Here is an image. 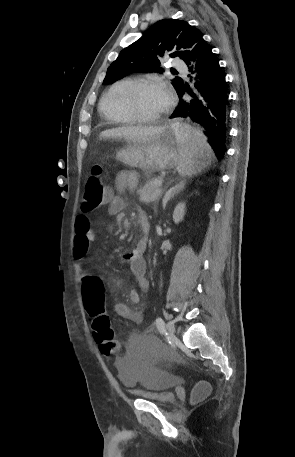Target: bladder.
I'll list each match as a JSON object with an SVG mask.
<instances>
[{"label": "bladder", "instance_id": "obj_1", "mask_svg": "<svg viewBox=\"0 0 295 457\" xmlns=\"http://www.w3.org/2000/svg\"><path fill=\"white\" fill-rule=\"evenodd\" d=\"M125 351L122 358L115 362L119 382L139 398L161 405L173 404L176 397L170 390V385L176 383L177 376L168 369L166 372L161 370V367L171 368V361L178 360V353L172 352L171 345L140 342L139 345H127ZM148 354L156 356L148 358Z\"/></svg>", "mask_w": 295, "mask_h": 457}]
</instances>
